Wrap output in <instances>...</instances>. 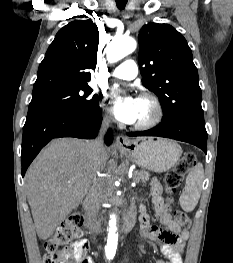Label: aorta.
Returning <instances> with one entry per match:
<instances>
[{
	"instance_id": "obj_1",
	"label": "aorta",
	"mask_w": 233,
	"mask_h": 263,
	"mask_svg": "<svg viewBox=\"0 0 233 263\" xmlns=\"http://www.w3.org/2000/svg\"><path fill=\"white\" fill-rule=\"evenodd\" d=\"M136 49V41L131 37H116L107 48V59L113 63L124 58ZM118 244V233L116 227V215L112 214L109 220L106 255L110 258L115 254Z\"/></svg>"
}]
</instances>
